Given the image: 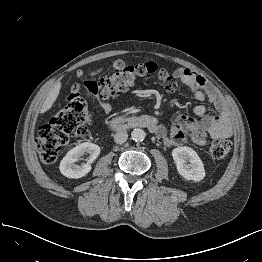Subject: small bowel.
<instances>
[{
    "instance_id": "c3829d8e",
    "label": "small bowel",
    "mask_w": 262,
    "mask_h": 262,
    "mask_svg": "<svg viewBox=\"0 0 262 262\" xmlns=\"http://www.w3.org/2000/svg\"><path fill=\"white\" fill-rule=\"evenodd\" d=\"M100 70L93 71L96 74ZM159 78L163 82L166 92L176 91L178 82L187 85L194 97L202 102H209L217 110L214 115H209L207 109L202 105L193 108V114L200 118L196 123L193 118L181 117L170 128L153 123L151 131L154 132L167 146L180 145L189 137L193 142L199 145H205L208 136L213 139L230 138L233 136V130L228 115L227 103L225 99L217 93L207 82V80L191 68L176 69L171 75L165 70L160 69ZM106 112H110L108 104L103 105ZM147 120L154 122L152 116H147Z\"/></svg>"
}]
</instances>
